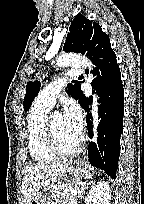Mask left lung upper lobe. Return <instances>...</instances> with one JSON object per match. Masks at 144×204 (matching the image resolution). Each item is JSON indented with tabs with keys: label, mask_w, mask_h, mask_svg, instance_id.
Returning a JSON list of instances; mask_svg holds the SVG:
<instances>
[{
	"label": "left lung upper lobe",
	"mask_w": 144,
	"mask_h": 204,
	"mask_svg": "<svg viewBox=\"0 0 144 204\" xmlns=\"http://www.w3.org/2000/svg\"><path fill=\"white\" fill-rule=\"evenodd\" d=\"M63 50L65 52L86 54L97 67H107L116 59L109 37L102 31L101 26L86 19L81 14L76 15L72 21ZM40 85L39 81L27 83L23 103L25 111L29 109L38 94ZM67 88L68 94L80 101L83 95L80 86L68 84Z\"/></svg>",
	"instance_id": "1"
}]
</instances>
